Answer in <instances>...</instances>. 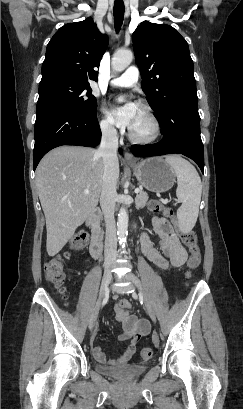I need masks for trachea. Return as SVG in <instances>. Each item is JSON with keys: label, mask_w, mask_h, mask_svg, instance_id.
Segmentation results:
<instances>
[{"label": "trachea", "mask_w": 243, "mask_h": 409, "mask_svg": "<svg viewBox=\"0 0 243 409\" xmlns=\"http://www.w3.org/2000/svg\"><path fill=\"white\" fill-rule=\"evenodd\" d=\"M125 12V6L122 1H115L114 3V25L116 32H119L123 24V17Z\"/></svg>", "instance_id": "3493384b"}]
</instances>
